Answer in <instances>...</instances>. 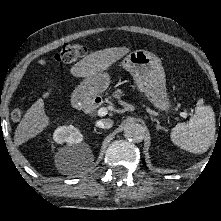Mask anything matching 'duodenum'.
I'll return each mask as SVG.
<instances>
[{"instance_id":"1","label":"duodenum","mask_w":221,"mask_h":221,"mask_svg":"<svg viewBox=\"0 0 221 221\" xmlns=\"http://www.w3.org/2000/svg\"><path fill=\"white\" fill-rule=\"evenodd\" d=\"M101 99L96 97L84 98L83 96L75 97V105L87 113L95 111L100 105Z\"/></svg>"}]
</instances>
